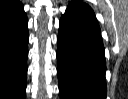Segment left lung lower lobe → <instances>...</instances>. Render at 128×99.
Masks as SVG:
<instances>
[{
    "label": "left lung lower lobe",
    "instance_id": "left-lung-lower-lobe-1",
    "mask_svg": "<svg viewBox=\"0 0 128 99\" xmlns=\"http://www.w3.org/2000/svg\"><path fill=\"white\" fill-rule=\"evenodd\" d=\"M57 72L60 99H106V61L93 10L70 2L60 19Z\"/></svg>",
    "mask_w": 128,
    "mask_h": 99
}]
</instances>
